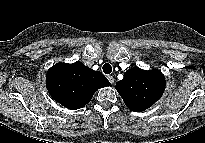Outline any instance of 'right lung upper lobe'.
I'll list each match as a JSON object with an SVG mask.
<instances>
[{
  "label": "right lung upper lobe",
  "mask_w": 205,
  "mask_h": 143,
  "mask_svg": "<svg viewBox=\"0 0 205 143\" xmlns=\"http://www.w3.org/2000/svg\"><path fill=\"white\" fill-rule=\"evenodd\" d=\"M109 85L110 82L100 71H94L80 61L55 64L46 75L51 97L71 110L82 108L98 89Z\"/></svg>",
  "instance_id": "obj_1"
}]
</instances>
